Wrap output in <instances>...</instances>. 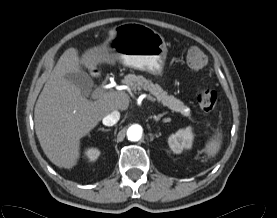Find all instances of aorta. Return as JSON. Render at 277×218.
Segmentation results:
<instances>
[{
    "mask_svg": "<svg viewBox=\"0 0 277 218\" xmlns=\"http://www.w3.org/2000/svg\"><path fill=\"white\" fill-rule=\"evenodd\" d=\"M142 136V127L138 124L131 125L127 130V137L130 141H139Z\"/></svg>",
    "mask_w": 277,
    "mask_h": 218,
    "instance_id": "aorta-1",
    "label": "aorta"
}]
</instances>
